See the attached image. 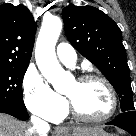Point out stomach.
I'll list each match as a JSON object with an SVG mask.
<instances>
[{"instance_id": "0dacf381", "label": "stomach", "mask_w": 136, "mask_h": 136, "mask_svg": "<svg viewBox=\"0 0 136 136\" xmlns=\"http://www.w3.org/2000/svg\"><path fill=\"white\" fill-rule=\"evenodd\" d=\"M59 136H113V135H111V134H109L99 128H96L93 131L88 132V133H72L71 134L67 131V132L60 134Z\"/></svg>"}]
</instances>
